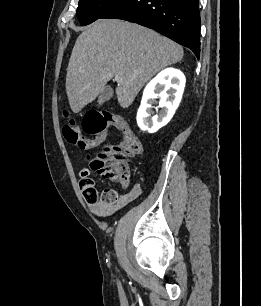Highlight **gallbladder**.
Here are the masks:
<instances>
[{
    "label": "gallbladder",
    "instance_id": "gallbladder-1",
    "mask_svg": "<svg viewBox=\"0 0 261 306\" xmlns=\"http://www.w3.org/2000/svg\"><path fill=\"white\" fill-rule=\"evenodd\" d=\"M113 94V89L110 86H105L98 98V105H102L104 102L110 100Z\"/></svg>",
    "mask_w": 261,
    "mask_h": 306
}]
</instances>
